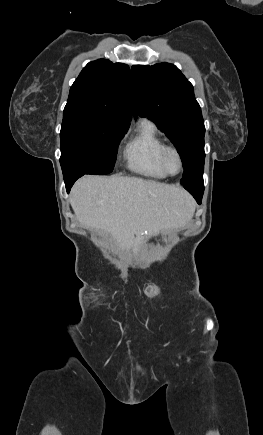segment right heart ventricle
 Listing matches in <instances>:
<instances>
[{
    "label": "right heart ventricle",
    "mask_w": 263,
    "mask_h": 435,
    "mask_svg": "<svg viewBox=\"0 0 263 435\" xmlns=\"http://www.w3.org/2000/svg\"><path fill=\"white\" fill-rule=\"evenodd\" d=\"M164 145L156 125L150 120H142L124 148L128 169L145 177L165 179L168 175L159 162Z\"/></svg>",
    "instance_id": "obj_1"
}]
</instances>
